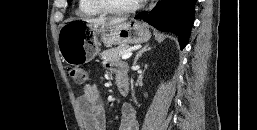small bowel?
<instances>
[{
  "instance_id": "small-bowel-1",
  "label": "small bowel",
  "mask_w": 257,
  "mask_h": 130,
  "mask_svg": "<svg viewBox=\"0 0 257 130\" xmlns=\"http://www.w3.org/2000/svg\"><path fill=\"white\" fill-rule=\"evenodd\" d=\"M107 68L115 75L116 82L120 80L127 81L125 65L108 63ZM78 105L85 130H105V109L98 87L95 84L88 83L84 86L83 93L78 98ZM119 130H139L136 112L129 104H124L121 108Z\"/></svg>"
}]
</instances>
